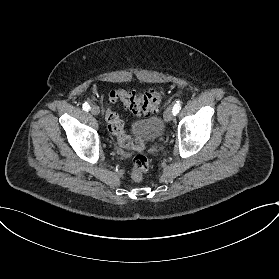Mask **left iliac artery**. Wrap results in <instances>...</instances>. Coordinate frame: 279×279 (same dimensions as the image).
<instances>
[{
	"label": "left iliac artery",
	"instance_id": "left-iliac-artery-1",
	"mask_svg": "<svg viewBox=\"0 0 279 279\" xmlns=\"http://www.w3.org/2000/svg\"><path fill=\"white\" fill-rule=\"evenodd\" d=\"M181 109V104L179 101L173 106L172 113L173 115H177Z\"/></svg>",
	"mask_w": 279,
	"mask_h": 279
}]
</instances>
